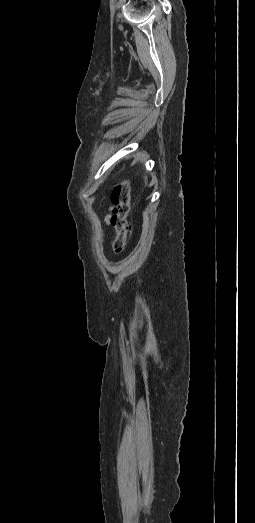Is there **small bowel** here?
<instances>
[{
    "mask_svg": "<svg viewBox=\"0 0 255 523\" xmlns=\"http://www.w3.org/2000/svg\"><path fill=\"white\" fill-rule=\"evenodd\" d=\"M110 218H111V214H109V215L106 217V222H107V223L110 222Z\"/></svg>",
    "mask_w": 255,
    "mask_h": 523,
    "instance_id": "1",
    "label": "small bowel"
}]
</instances>
